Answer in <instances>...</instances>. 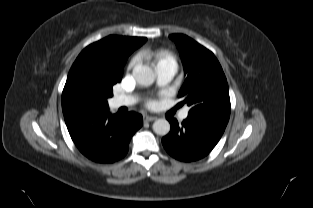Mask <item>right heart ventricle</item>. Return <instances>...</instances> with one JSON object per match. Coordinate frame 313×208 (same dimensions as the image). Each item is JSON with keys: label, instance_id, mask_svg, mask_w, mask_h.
Returning a JSON list of instances; mask_svg holds the SVG:
<instances>
[{"label": "right heart ventricle", "instance_id": "right-heart-ventricle-1", "mask_svg": "<svg viewBox=\"0 0 313 208\" xmlns=\"http://www.w3.org/2000/svg\"><path fill=\"white\" fill-rule=\"evenodd\" d=\"M150 57L153 59L155 65H156V68H157V66H159L163 63H167V62L175 63L174 57L170 53L165 52V51L153 52L152 55H150Z\"/></svg>", "mask_w": 313, "mask_h": 208}]
</instances>
